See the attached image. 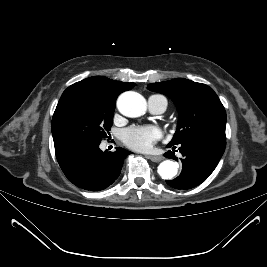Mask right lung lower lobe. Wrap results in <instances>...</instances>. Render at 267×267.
<instances>
[{
    "instance_id": "98d812e1",
    "label": "right lung lower lobe",
    "mask_w": 267,
    "mask_h": 267,
    "mask_svg": "<svg viewBox=\"0 0 267 267\" xmlns=\"http://www.w3.org/2000/svg\"><path fill=\"white\" fill-rule=\"evenodd\" d=\"M100 143H80L56 150L58 163L66 177L77 187L101 191L120 175L123 160L131 153L121 147L103 152Z\"/></svg>"
}]
</instances>
